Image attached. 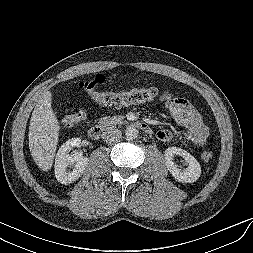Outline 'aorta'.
I'll return each mask as SVG.
<instances>
[{"mask_svg": "<svg viewBox=\"0 0 253 253\" xmlns=\"http://www.w3.org/2000/svg\"><path fill=\"white\" fill-rule=\"evenodd\" d=\"M139 132L135 127L129 126L125 130V136L128 140H134L138 137Z\"/></svg>", "mask_w": 253, "mask_h": 253, "instance_id": "1", "label": "aorta"}]
</instances>
